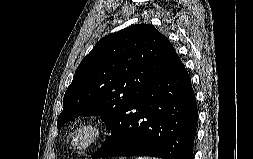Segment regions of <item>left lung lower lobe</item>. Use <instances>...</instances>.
<instances>
[{
  "mask_svg": "<svg viewBox=\"0 0 253 159\" xmlns=\"http://www.w3.org/2000/svg\"><path fill=\"white\" fill-rule=\"evenodd\" d=\"M197 117L190 77L176 54L128 107L117 130L92 158L193 159Z\"/></svg>",
  "mask_w": 253,
  "mask_h": 159,
  "instance_id": "0a47b994",
  "label": "left lung lower lobe"
}]
</instances>
